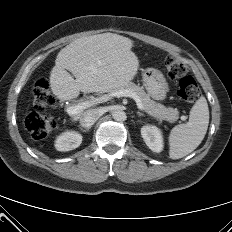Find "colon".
Listing matches in <instances>:
<instances>
[{
    "mask_svg": "<svg viewBox=\"0 0 232 232\" xmlns=\"http://www.w3.org/2000/svg\"><path fill=\"white\" fill-rule=\"evenodd\" d=\"M165 70L171 79L180 78L177 95L186 102H195L200 97V89L193 77L186 75V66L174 55H168L164 60ZM34 111L29 113L24 121L26 130L36 140L46 138L55 127V120L43 114L46 109L55 105L56 100L49 90L45 80L37 81L32 89Z\"/></svg>",
    "mask_w": 232,
    "mask_h": 232,
    "instance_id": "1",
    "label": "colon"
}]
</instances>
